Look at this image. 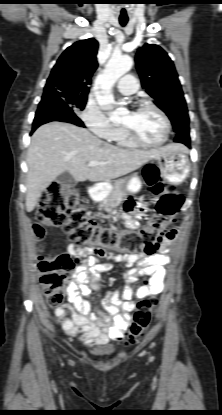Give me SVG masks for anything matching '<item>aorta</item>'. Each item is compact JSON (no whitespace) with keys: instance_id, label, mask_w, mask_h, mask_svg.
I'll return each instance as SVG.
<instances>
[{"instance_id":"obj_1","label":"aorta","mask_w":222,"mask_h":415,"mask_svg":"<svg viewBox=\"0 0 222 415\" xmlns=\"http://www.w3.org/2000/svg\"><path fill=\"white\" fill-rule=\"evenodd\" d=\"M133 66V59L129 56H112L105 69L96 78L102 92L97 96V102L102 109L107 111L110 118L117 117L119 111L113 109L115 103L112 87L117 80L126 74Z\"/></svg>"}]
</instances>
